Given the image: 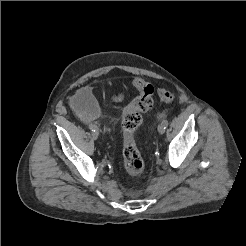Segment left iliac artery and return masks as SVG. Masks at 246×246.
Here are the masks:
<instances>
[{
  "mask_svg": "<svg viewBox=\"0 0 246 246\" xmlns=\"http://www.w3.org/2000/svg\"><path fill=\"white\" fill-rule=\"evenodd\" d=\"M162 125L164 126V128H166L168 126V121L167 120H163L162 121Z\"/></svg>",
  "mask_w": 246,
  "mask_h": 246,
  "instance_id": "44dca946",
  "label": "left iliac artery"
}]
</instances>
